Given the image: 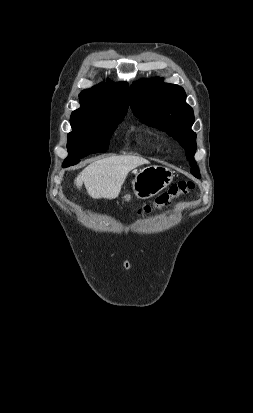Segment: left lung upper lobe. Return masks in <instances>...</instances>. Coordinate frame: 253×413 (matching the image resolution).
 Returning <instances> with one entry per match:
<instances>
[{
	"label": "left lung upper lobe",
	"mask_w": 253,
	"mask_h": 413,
	"mask_svg": "<svg viewBox=\"0 0 253 413\" xmlns=\"http://www.w3.org/2000/svg\"><path fill=\"white\" fill-rule=\"evenodd\" d=\"M182 87L164 83L162 79H143L130 88V105L135 116L149 126L165 131L186 150L191 173L200 178L194 160L196 134L191 130L194 123L193 109L186 104Z\"/></svg>",
	"instance_id": "obj_1"
}]
</instances>
